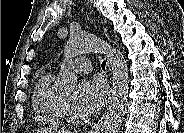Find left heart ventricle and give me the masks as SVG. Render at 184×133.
<instances>
[{
    "mask_svg": "<svg viewBox=\"0 0 184 133\" xmlns=\"http://www.w3.org/2000/svg\"><path fill=\"white\" fill-rule=\"evenodd\" d=\"M66 96H67V97H70V93H67Z\"/></svg>",
    "mask_w": 184,
    "mask_h": 133,
    "instance_id": "1",
    "label": "left heart ventricle"
}]
</instances>
